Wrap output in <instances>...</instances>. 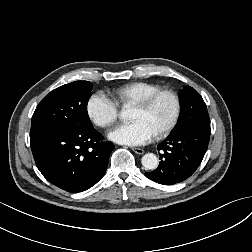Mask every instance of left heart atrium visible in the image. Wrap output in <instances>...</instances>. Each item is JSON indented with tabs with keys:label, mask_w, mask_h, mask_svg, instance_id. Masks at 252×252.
<instances>
[{
	"label": "left heart atrium",
	"mask_w": 252,
	"mask_h": 252,
	"mask_svg": "<svg viewBox=\"0 0 252 252\" xmlns=\"http://www.w3.org/2000/svg\"><path fill=\"white\" fill-rule=\"evenodd\" d=\"M154 136V130L142 120L117 125L108 133L112 141L130 146L145 144Z\"/></svg>",
	"instance_id": "39dd6f15"
}]
</instances>
